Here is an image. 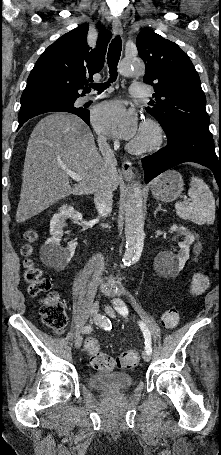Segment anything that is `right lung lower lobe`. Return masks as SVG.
Listing matches in <instances>:
<instances>
[{"instance_id":"1","label":"right lung lower lobe","mask_w":221,"mask_h":455,"mask_svg":"<svg viewBox=\"0 0 221 455\" xmlns=\"http://www.w3.org/2000/svg\"><path fill=\"white\" fill-rule=\"evenodd\" d=\"M54 111H63V112H69L76 114L80 118H82L88 125L90 122V117H89V111L84 109L83 112L77 113L71 109L63 108V107H43V108H37V109H32L23 113H19L18 120H19V126L18 129L29 119L43 114L47 112H54Z\"/></svg>"}]
</instances>
